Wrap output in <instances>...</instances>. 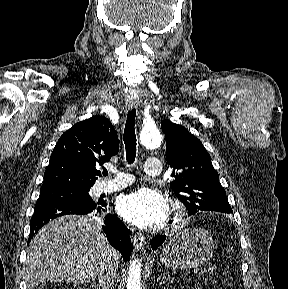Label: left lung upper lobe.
Masks as SVG:
<instances>
[{
  "mask_svg": "<svg viewBox=\"0 0 288 289\" xmlns=\"http://www.w3.org/2000/svg\"><path fill=\"white\" fill-rule=\"evenodd\" d=\"M167 162L173 167L170 183L176 197L188 209V215L199 211L232 213L226 192L219 182L211 157L202 142L183 126L164 120Z\"/></svg>",
  "mask_w": 288,
  "mask_h": 289,
  "instance_id": "1",
  "label": "left lung upper lobe"
}]
</instances>
